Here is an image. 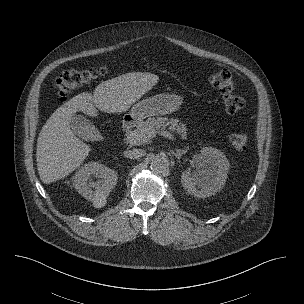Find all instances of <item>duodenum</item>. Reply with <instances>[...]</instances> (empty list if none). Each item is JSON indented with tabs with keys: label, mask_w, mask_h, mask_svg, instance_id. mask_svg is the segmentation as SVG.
I'll list each match as a JSON object with an SVG mask.
<instances>
[{
	"label": "duodenum",
	"mask_w": 304,
	"mask_h": 304,
	"mask_svg": "<svg viewBox=\"0 0 304 304\" xmlns=\"http://www.w3.org/2000/svg\"><path fill=\"white\" fill-rule=\"evenodd\" d=\"M134 123H135V119L134 118H132V117L126 118L123 121V125H122L123 130L124 131H128L129 129H131L133 127Z\"/></svg>",
	"instance_id": "duodenum-1"
}]
</instances>
